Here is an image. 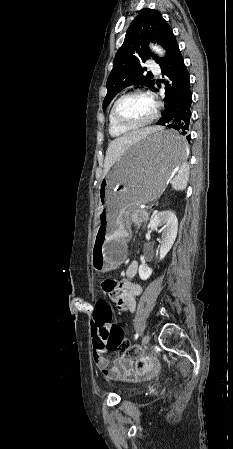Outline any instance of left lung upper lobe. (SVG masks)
<instances>
[{"mask_svg": "<svg viewBox=\"0 0 233 449\" xmlns=\"http://www.w3.org/2000/svg\"><path fill=\"white\" fill-rule=\"evenodd\" d=\"M149 42H156L166 50V57L159 58L148 48ZM178 48L172 28L157 10L144 8L130 24L123 45L113 62V69L107 79V95L103 110L122 89L134 83L154 88V82L143 75L146 69L141 63L153 58L160 65L165 64Z\"/></svg>", "mask_w": 233, "mask_h": 449, "instance_id": "5c2ea615", "label": "left lung upper lobe"}]
</instances>
